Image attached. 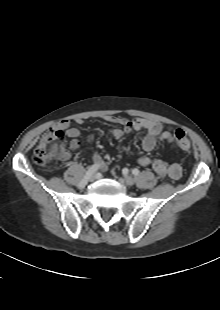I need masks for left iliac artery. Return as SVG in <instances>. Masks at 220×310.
Returning a JSON list of instances; mask_svg holds the SVG:
<instances>
[{
    "label": "left iliac artery",
    "mask_w": 220,
    "mask_h": 310,
    "mask_svg": "<svg viewBox=\"0 0 220 310\" xmlns=\"http://www.w3.org/2000/svg\"><path fill=\"white\" fill-rule=\"evenodd\" d=\"M132 173L134 175H138L139 174V170L137 168H135V169L132 170Z\"/></svg>",
    "instance_id": "1"
}]
</instances>
